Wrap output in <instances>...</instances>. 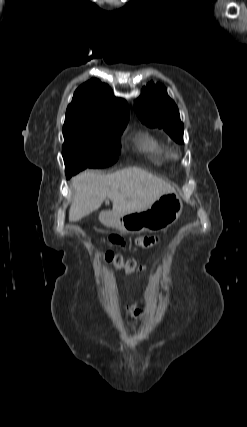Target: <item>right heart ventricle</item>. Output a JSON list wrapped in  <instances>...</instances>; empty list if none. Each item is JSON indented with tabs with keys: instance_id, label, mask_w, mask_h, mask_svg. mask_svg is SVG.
I'll return each instance as SVG.
<instances>
[{
	"instance_id": "1",
	"label": "right heart ventricle",
	"mask_w": 247,
	"mask_h": 427,
	"mask_svg": "<svg viewBox=\"0 0 247 427\" xmlns=\"http://www.w3.org/2000/svg\"><path fill=\"white\" fill-rule=\"evenodd\" d=\"M136 147L155 164H161L171 158L168 147L148 133L140 134L137 137Z\"/></svg>"
}]
</instances>
